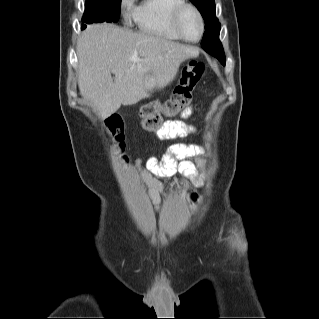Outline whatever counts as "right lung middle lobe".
<instances>
[{
  "label": "right lung middle lobe",
  "mask_w": 319,
  "mask_h": 319,
  "mask_svg": "<svg viewBox=\"0 0 319 319\" xmlns=\"http://www.w3.org/2000/svg\"><path fill=\"white\" fill-rule=\"evenodd\" d=\"M121 0H86L82 21L87 24L116 22L120 16ZM86 26L83 24L82 29Z\"/></svg>",
  "instance_id": "1"
}]
</instances>
